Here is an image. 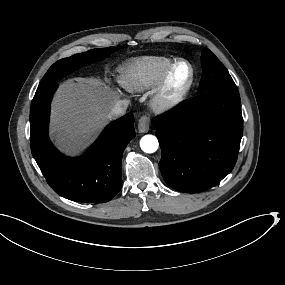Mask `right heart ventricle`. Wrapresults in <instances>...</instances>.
Masks as SVG:
<instances>
[{"label": "right heart ventricle", "instance_id": "e07e8e85", "mask_svg": "<svg viewBox=\"0 0 285 285\" xmlns=\"http://www.w3.org/2000/svg\"><path fill=\"white\" fill-rule=\"evenodd\" d=\"M170 68V61L164 57H142L136 61L135 72L127 88L133 93L151 89L159 83Z\"/></svg>", "mask_w": 285, "mask_h": 285}]
</instances>
